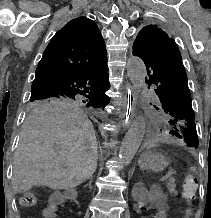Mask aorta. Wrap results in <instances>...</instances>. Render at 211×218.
I'll return each instance as SVG.
<instances>
[{
  "label": "aorta",
  "mask_w": 211,
  "mask_h": 218,
  "mask_svg": "<svg viewBox=\"0 0 211 218\" xmlns=\"http://www.w3.org/2000/svg\"><path fill=\"white\" fill-rule=\"evenodd\" d=\"M127 74L137 91H141L146 77V68L138 57H131L127 62ZM145 134V120L137 117L126 133L119 151V161L122 165H128L136 154Z\"/></svg>",
  "instance_id": "1"
}]
</instances>
